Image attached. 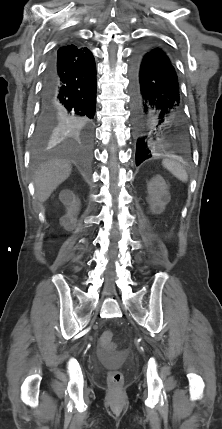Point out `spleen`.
<instances>
[{"label":"spleen","instance_id":"3e777b00","mask_svg":"<svg viewBox=\"0 0 222 429\" xmlns=\"http://www.w3.org/2000/svg\"><path fill=\"white\" fill-rule=\"evenodd\" d=\"M163 166L169 170L176 178L181 180L182 182H186L188 179L187 172L185 168L178 162L165 159L162 162Z\"/></svg>","mask_w":222,"mask_h":429}]
</instances>
